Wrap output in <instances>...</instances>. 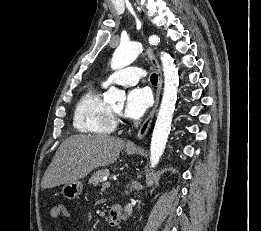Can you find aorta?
I'll list each match as a JSON object with an SVG mask.
<instances>
[{
  "mask_svg": "<svg viewBox=\"0 0 261 231\" xmlns=\"http://www.w3.org/2000/svg\"><path fill=\"white\" fill-rule=\"evenodd\" d=\"M141 51L142 45L139 42L121 43L113 54L111 68L117 70L128 66L138 57ZM161 61L164 73V91L150 146L152 168L158 164L166 147L179 85L178 70L172 57L167 53H162ZM125 99V92L113 86L104 94V101L108 103L123 102Z\"/></svg>",
  "mask_w": 261,
  "mask_h": 231,
  "instance_id": "1",
  "label": "aorta"
}]
</instances>
